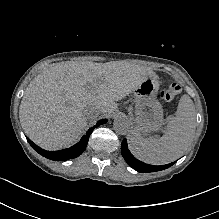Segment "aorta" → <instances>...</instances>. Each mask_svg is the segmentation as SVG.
<instances>
[{
    "mask_svg": "<svg viewBox=\"0 0 219 219\" xmlns=\"http://www.w3.org/2000/svg\"><path fill=\"white\" fill-rule=\"evenodd\" d=\"M114 130L120 135H126L131 131V121L125 116H118L114 119Z\"/></svg>",
    "mask_w": 219,
    "mask_h": 219,
    "instance_id": "aorta-1",
    "label": "aorta"
}]
</instances>
